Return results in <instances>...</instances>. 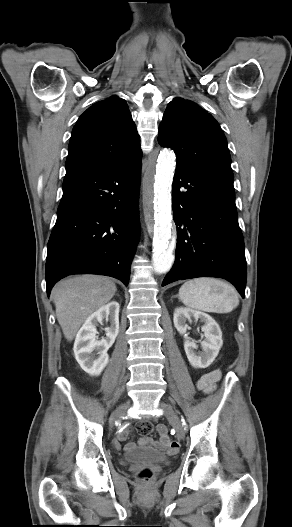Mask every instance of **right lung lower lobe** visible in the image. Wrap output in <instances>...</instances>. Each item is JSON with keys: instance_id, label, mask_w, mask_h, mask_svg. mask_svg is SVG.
Wrapping results in <instances>:
<instances>
[{"instance_id": "obj_1", "label": "right lung lower lobe", "mask_w": 292, "mask_h": 527, "mask_svg": "<svg viewBox=\"0 0 292 527\" xmlns=\"http://www.w3.org/2000/svg\"><path fill=\"white\" fill-rule=\"evenodd\" d=\"M141 156L111 167L66 171L48 242V296L71 274L107 275L128 285L139 238Z\"/></svg>"}]
</instances>
